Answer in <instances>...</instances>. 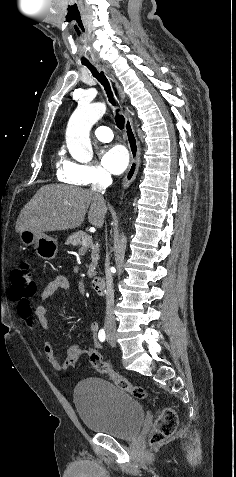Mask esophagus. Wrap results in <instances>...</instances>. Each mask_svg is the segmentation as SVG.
Instances as JSON below:
<instances>
[{
  "label": "esophagus",
  "mask_w": 236,
  "mask_h": 477,
  "mask_svg": "<svg viewBox=\"0 0 236 477\" xmlns=\"http://www.w3.org/2000/svg\"><path fill=\"white\" fill-rule=\"evenodd\" d=\"M110 76H111L112 80L115 82V85L118 89L121 100L123 101L124 98H125V95H124V92L122 91L121 86L119 85V83L116 81V79L114 78V76L112 74H110ZM125 135H126L127 142H128V147H129V151H130L131 160H130V165H129L128 171H127V173H126V175L123 179V188L124 189L127 188L133 182V180L136 178V175H137V172H138V169H139V165H140L139 142L137 140V137H136V134H135V131H134V128H133L132 120L127 113H125Z\"/></svg>",
  "instance_id": "1"
}]
</instances>
